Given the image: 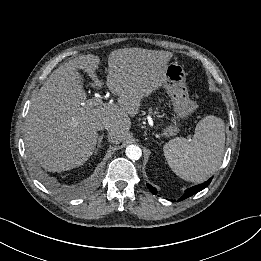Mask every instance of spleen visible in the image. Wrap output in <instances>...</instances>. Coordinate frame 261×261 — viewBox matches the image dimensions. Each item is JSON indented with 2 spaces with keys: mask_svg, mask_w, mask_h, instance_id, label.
<instances>
[{
  "mask_svg": "<svg viewBox=\"0 0 261 261\" xmlns=\"http://www.w3.org/2000/svg\"><path fill=\"white\" fill-rule=\"evenodd\" d=\"M225 125L214 115L204 117L191 141L174 138L164 145V156L180 178L191 182L207 180L220 166L224 155Z\"/></svg>",
  "mask_w": 261,
  "mask_h": 261,
  "instance_id": "3e777b00",
  "label": "spleen"
}]
</instances>
